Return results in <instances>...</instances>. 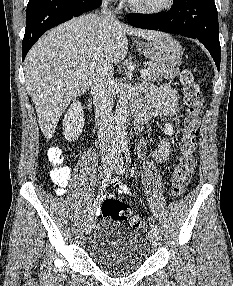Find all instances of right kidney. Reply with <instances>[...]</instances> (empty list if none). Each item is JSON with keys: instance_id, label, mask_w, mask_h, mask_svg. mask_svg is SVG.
Here are the masks:
<instances>
[{"instance_id": "right-kidney-1", "label": "right kidney", "mask_w": 233, "mask_h": 286, "mask_svg": "<svg viewBox=\"0 0 233 286\" xmlns=\"http://www.w3.org/2000/svg\"><path fill=\"white\" fill-rule=\"evenodd\" d=\"M84 127V113L82 104L74 101L63 120V131L67 141L72 142L79 138Z\"/></svg>"}]
</instances>
